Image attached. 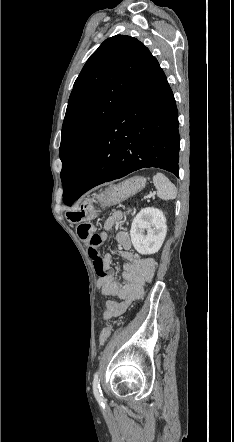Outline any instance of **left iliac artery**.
<instances>
[{"mask_svg": "<svg viewBox=\"0 0 234 442\" xmlns=\"http://www.w3.org/2000/svg\"><path fill=\"white\" fill-rule=\"evenodd\" d=\"M99 374L96 372L93 379V393L99 403H103V395L100 388Z\"/></svg>", "mask_w": 234, "mask_h": 442, "instance_id": "left-iliac-artery-1", "label": "left iliac artery"}]
</instances>
